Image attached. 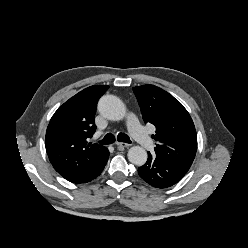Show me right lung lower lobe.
Here are the masks:
<instances>
[{
    "label": "right lung lower lobe",
    "instance_id": "obj_1",
    "mask_svg": "<svg viewBox=\"0 0 248 248\" xmlns=\"http://www.w3.org/2000/svg\"><path fill=\"white\" fill-rule=\"evenodd\" d=\"M108 157H109V151L106 153V156L103 158V160L95 167V169L78 183L89 182L92 179L96 178L98 175H100L108 161Z\"/></svg>",
    "mask_w": 248,
    "mask_h": 248
}]
</instances>
